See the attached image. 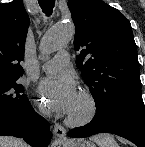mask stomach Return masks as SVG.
I'll use <instances>...</instances> for the list:
<instances>
[{"instance_id": "obj_1", "label": "stomach", "mask_w": 145, "mask_h": 147, "mask_svg": "<svg viewBox=\"0 0 145 147\" xmlns=\"http://www.w3.org/2000/svg\"><path fill=\"white\" fill-rule=\"evenodd\" d=\"M73 147H95V146L91 142L82 141V142H79L78 144L73 145Z\"/></svg>"}]
</instances>
